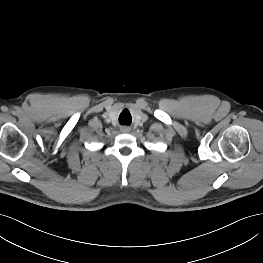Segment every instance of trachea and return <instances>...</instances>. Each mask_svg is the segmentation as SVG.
I'll list each match as a JSON object with an SVG mask.
<instances>
[{
  "instance_id": "trachea-1",
  "label": "trachea",
  "mask_w": 263,
  "mask_h": 263,
  "mask_svg": "<svg viewBox=\"0 0 263 263\" xmlns=\"http://www.w3.org/2000/svg\"><path fill=\"white\" fill-rule=\"evenodd\" d=\"M124 112H128V113H129V111L124 110V111L121 113V115H120V122L123 123V124H129L130 121H131V116H130V114H129V121H122V114H123Z\"/></svg>"
}]
</instances>
